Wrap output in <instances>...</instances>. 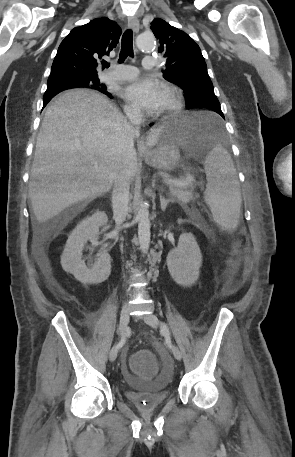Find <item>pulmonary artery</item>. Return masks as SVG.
Here are the masks:
<instances>
[{"label":"pulmonary artery","instance_id":"pulmonary-artery-1","mask_svg":"<svg viewBox=\"0 0 295 457\" xmlns=\"http://www.w3.org/2000/svg\"><path fill=\"white\" fill-rule=\"evenodd\" d=\"M145 69L151 70L156 66V59L153 56H146L142 61ZM138 74L137 69L131 65H119L114 69L105 72L102 79L105 81H126L136 77Z\"/></svg>","mask_w":295,"mask_h":457}]
</instances>
